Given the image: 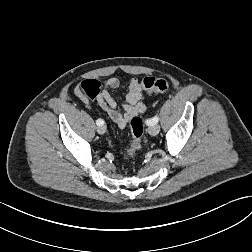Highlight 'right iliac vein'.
Returning <instances> with one entry per match:
<instances>
[{
  "mask_svg": "<svg viewBox=\"0 0 252 252\" xmlns=\"http://www.w3.org/2000/svg\"><path fill=\"white\" fill-rule=\"evenodd\" d=\"M105 131H106V126L104 124L97 127V132L99 134H104Z\"/></svg>",
  "mask_w": 252,
  "mask_h": 252,
  "instance_id": "obj_1",
  "label": "right iliac vein"
}]
</instances>
